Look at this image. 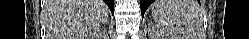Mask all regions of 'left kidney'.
Returning a JSON list of instances; mask_svg holds the SVG:
<instances>
[{
    "instance_id": "obj_1",
    "label": "left kidney",
    "mask_w": 249,
    "mask_h": 39,
    "mask_svg": "<svg viewBox=\"0 0 249 39\" xmlns=\"http://www.w3.org/2000/svg\"><path fill=\"white\" fill-rule=\"evenodd\" d=\"M158 39H174V37H172L171 34L167 33V32H161L158 36Z\"/></svg>"
}]
</instances>
